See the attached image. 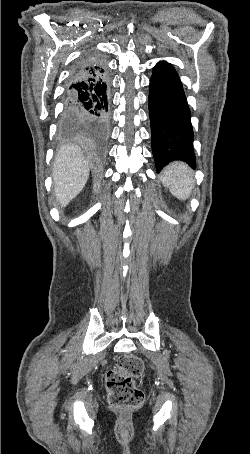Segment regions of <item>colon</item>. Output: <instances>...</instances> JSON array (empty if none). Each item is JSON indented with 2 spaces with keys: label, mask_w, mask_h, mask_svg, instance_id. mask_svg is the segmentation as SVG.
<instances>
[{
  "label": "colon",
  "mask_w": 250,
  "mask_h": 454,
  "mask_svg": "<svg viewBox=\"0 0 250 454\" xmlns=\"http://www.w3.org/2000/svg\"><path fill=\"white\" fill-rule=\"evenodd\" d=\"M144 369L142 360L135 355H123L106 376L109 404L113 410L122 411L138 407L144 398L134 378Z\"/></svg>",
  "instance_id": "colon-1"
}]
</instances>
